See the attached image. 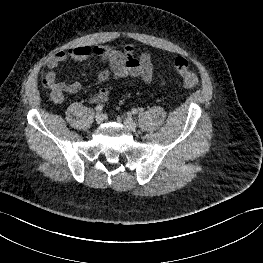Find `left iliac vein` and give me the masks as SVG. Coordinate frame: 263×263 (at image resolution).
<instances>
[{"label":"left iliac vein","instance_id":"4c4485c4","mask_svg":"<svg viewBox=\"0 0 263 263\" xmlns=\"http://www.w3.org/2000/svg\"><path fill=\"white\" fill-rule=\"evenodd\" d=\"M124 123L126 127L131 131H135L137 128V123L130 117H126Z\"/></svg>","mask_w":263,"mask_h":263}]
</instances>
